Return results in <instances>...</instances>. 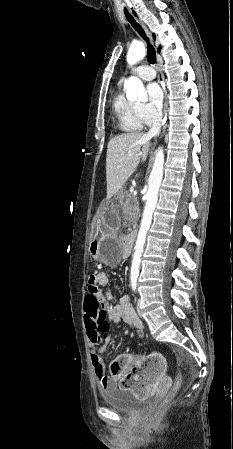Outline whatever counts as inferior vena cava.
<instances>
[{
    "mask_svg": "<svg viewBox=\"0 0 233 449\" xmlns=\"http://www.w3.org/2000/svg\"><path fill=\"white\" fill-rule=\"evenodd\" d=\"M161 123H162V112L160 110H157L154 112L153 125L147 135L149 137L159 135L161 131Z\"/></svg>",
    "mask_w": 233,
    "mask_h": 449,
    "instance_id": "inferior-vena-cava-1",
    "label": "inferior vena cava"
}]
</instances>
